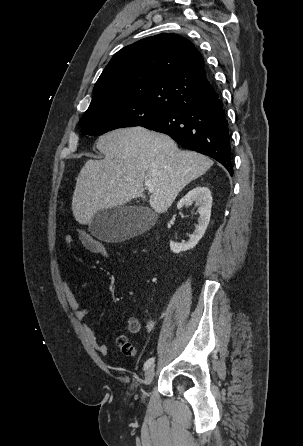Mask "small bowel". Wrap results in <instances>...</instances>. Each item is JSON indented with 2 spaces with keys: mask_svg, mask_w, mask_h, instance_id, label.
<instances>
[{
  "mask_svg": "<svg viewBox=\"0 0 303 446\" xmlns=\"http://www.w3.org/2000/svg\"><path fill=\"white\" fill-rule=\"evenodd\" d=\"M78 238L86 250H88L93 254H96L97 239H95L85 231L82 233H78ZM73 242H74V237L70 234L66 235L65 243L68 248L72 247ZM62 285L70 309L72 310V312L74 313L75 317L78 320L80 321L83 320L84 317H86L90 313V309L82 307L79 300L76 298L70 286L65 280L63 281ZM155 326H156V321L153 318H148L145 323L146 330L151 332L155 329ZM141 327H142L141 322L137 317L131 316L128 318L127 329L130 333L133 334L138 333L141 330ZM86 332L93 348L100 354L106 355L108 353V346L98 341L94 331L90 327L87 328Z\"/></svg>",
  "mask_w": 303,
  "mask_h": 446,
  "instance_id": "c3829d8e",
  "label": "small bowel"
}]
</instances>
